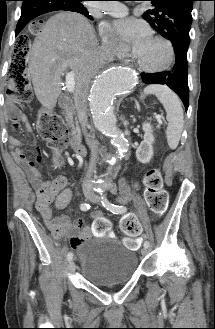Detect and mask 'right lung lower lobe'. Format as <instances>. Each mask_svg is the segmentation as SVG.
I'll return each instance as SVG.
<instances>
[{
	"mask_svg": "<svg viewBox=\"0 0 215 329\" xmlns=\"http://www.w3.org/2000/svg\"><path fill=\"white\" fill-rule=\"evenodd\" d=\"M23 5L21 9V17L16 27V36L26 26V24L35 17L57 10L72 11L83 14L89 19L92 16L89 15L87 9L77 7L70 0H22Z\"/></svg>",
	"mask_w": 215,
	"mask_h": 329,
	"instance_id": "1",
	"label": "right lung lower lobe"
}]
</instances>
